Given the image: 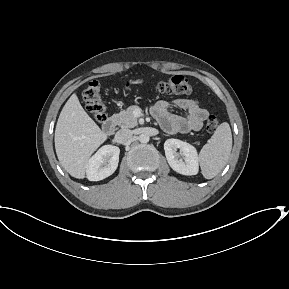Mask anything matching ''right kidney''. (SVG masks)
<instances>
[{
    "instance_id": "ca27d5eb",
    "label": "right kidney",
    "mask_w": 289,
    "mask_h": 289,
    "mask_svg": "<svg viewBox=\"0 0 289 289\" xmlns=\"http://www.w3.org/2000/svg\"><path fill=\"white\" fill-rule=\"evenodd\" d=\"M120 149L113 145L102 146L89 160L86 175L90 181H100L112 175L118 167Z\"/></svg>"
}]
</instances>
